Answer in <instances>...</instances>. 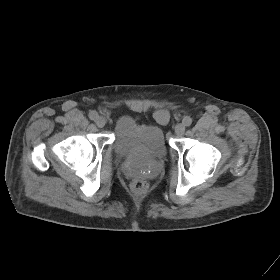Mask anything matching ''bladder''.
I'll return each mask as SVG.
<instances>
[{
	"label": "bladder",
	"mask_w": 280,
	"mask_h": 280,
	"mask_svg": "<svg viewBox=\"0 0 280 280\" xmlns=\"http://www.w3.org/2000/svg\"><path fill=\"white\" fill-rule=\"evenodd\" d=\"M114 150L121 157L162 159L168 146L160 126L138 123L131 116H122L115 123Z\"/></svg>",
	"instance_id": "obj_1"
}]
</instances>
